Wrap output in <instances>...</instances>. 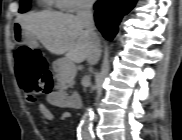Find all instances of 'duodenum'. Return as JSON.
Listing matches in <instances>:
<instances>
[{"label":"duodenum","mask_w":182,"mask_h":140,"mask_svg":"<svg viewBox=\"0 0 182 140\" xmlns=\"http://www.w3.org/2000/svg\"><path fill=\"white\" fill-rule=\"evenodd\" d=\"M81 104L82 100L80 96H72L66 100V105L74 109L80 108Z\"/></svg>","instance_id":"1"}]
</instances>
